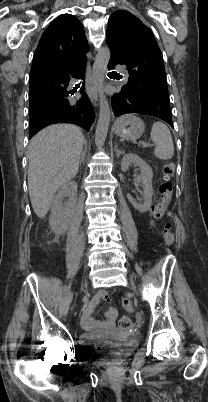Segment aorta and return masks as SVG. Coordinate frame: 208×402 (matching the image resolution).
<instances>
[{
  "label": "aorta",
  "instance_id": "762f6f07",
  "mask_svg": "<svg viewBox=\"0 0 208 402\" xmlns=\"http://www.w3.org/2000/svg\"><path fill=\"white\" fill-rule=\"evenodd\" d=\"M110 56L111 52L109 48H100L93 64V82L97 88L100 100L99 120L95 132V144L99 148L104 146L110 124V106L104 92L105 72Z\"/></svg>",
  "mask_w": 208,
  "mask_h": 402
}]
</instances>
